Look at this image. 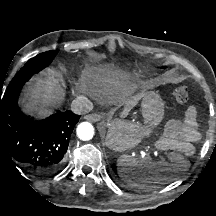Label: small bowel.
Segmentation results:
<instances>
[{"label":"small bowel","instance_id":"1","mask_svg":"<svg viewBox=\"0 0 216 216\" xmlns=\"http://www.w3.org/2000/svg\"><path fill=\"white\" fill-rule=\"evenodd\" d=\"M200 138L196 108L189 106L183 120L172 118L166 123L163 142L167 148L191 156L195 150L193 143Z\"/></svg>","mask_w":216,"mask_h":216}]
</instances>
